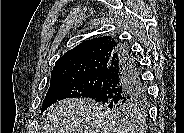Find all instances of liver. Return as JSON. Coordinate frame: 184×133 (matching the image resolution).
Returning a JSON list of instances; mask_svg holds the SVG:
<instances>
[{"instance_id":"6515ba94","label":"liver","mask_w":184,"mask_h":133,"mask_svg":"<svg viewBox=\"0 0 184 133\" xmlns=\"http://www.w3.org/2000/svg\"><path fill=\"white\" fill-rule=\"evenodd\" d=\"M43 133H128L125 123L117 121L102 105L91 99H64L42 116Z\"/></svg>"}]
</instances>
